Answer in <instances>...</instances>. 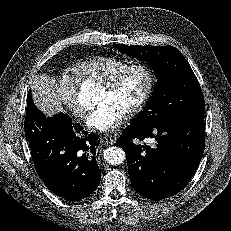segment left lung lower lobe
<instances>
[{
    "label": "left lung lower lobe",
    "instance_id": "obj_1",
    "mask_svg": "<svg viewBox=\"0 0 231 231\" xmlns=\"http://www.w3.org/2000/svg\"><path fill=\"white\" fill-rule=\"evenodd\" d=\"M117 139L126 152L135 191L150 200L171 197L187 186L201 161L205 144L204 115L167 125L128 126ZM153 138L154 148L133 139Z\"/></svg>",
    "mask_w": 231,
    "mask_h": 231
}]
</instances>
